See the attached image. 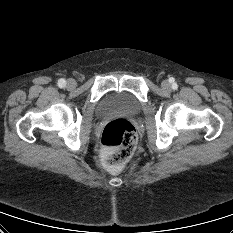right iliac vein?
Listing matches in <instances>:
<instances>
[{"label": "right iliac vein", "mask_w": 233, "mask_h": 233, "mask_svg": "<svg viewBox=\"0 0 233 233\" xmlns=\"http://www.w3.org/2000/svg\"><path fill=\"white\" fill-rule=\"evenodd\" d=\"M66 87L70 90L76 87V81L74 79H68Z\"/></svg>", "instance_id": "obj_1"}]
</instances>
